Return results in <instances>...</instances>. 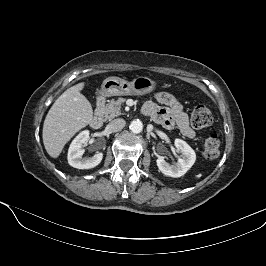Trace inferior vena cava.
I'll return each instance as SVG.
<instances>
[{
  "mask_svg": "<svg viewBox=\"0 0 266 266\" xmlns=\"http://www.w3.org/2000/svg\"><path fill=\"white\" fill-rule=\"evenodd\" d=\"M125 124L126 122L124 119L117 118V119L112 120L108 126L111 131L117 132V131H121L125 127Z\"/></svg>",
  "mask_w": 266,
  "mask_h": 266,
  "instance_id": "602c4592",
  "label": "inferior vena cava"
}]
</instances>
